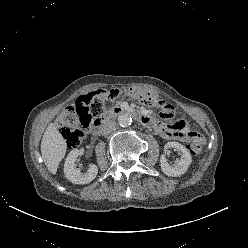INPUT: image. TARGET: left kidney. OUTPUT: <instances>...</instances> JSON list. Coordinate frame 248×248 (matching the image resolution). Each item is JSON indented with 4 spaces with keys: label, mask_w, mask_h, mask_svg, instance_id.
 Listing matches in <instances>:
<instances>
[{
    "label": "left kidney",
    "mask_w": 248,
    "mask_h": 248,
    "mask_svg": "<svg viewBox=\"0 0 248 248\" xmlns=\"http://www.w3.org/2000/svg\"><path fill=\"white\" fill-rule=\"evenodd\" d=\"M169 148H174L175 150L181 152V155H182L181 159L179 160L177 165L171 166L167 162L165 155L163 154L160 159L161 170L167 176L177 177V176L184 174L187 171L189 165L192 162V157H191L189 150L178 142H168L164 147L165 154L168 152Z\"/></svg>",
    "instance_id": "obj_1"
}]
</instances>
